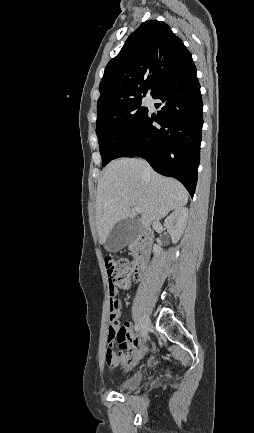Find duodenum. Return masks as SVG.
Listing matches in <instances>:
<instances>
[{"instance_id": "duodenum-1", "label": "duodenum", "mask_w": 254, "mask_h": 433, "mask_svg": "<svg viewBox=\"0 0 254 433\" xmlns=\"http://www.w3.org/2000/svg\"><path fill=\"white\" fill-rule=\"evenodd\" d=\"M153 239V232L147 231L131 245V248L135 253V260L133 263V276L136 280L142 278L146 270Z\"/></svg>"}]
</instances>
